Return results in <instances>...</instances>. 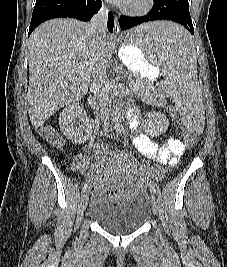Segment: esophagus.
Listing matches in <instances>:
<instances>
[{"mask_svg":"<svg viewBox=\"0 0 227 267\" xmlns=\"http://www.w3.org/2000/svg\"><path fill=\"white\" fill-rule=\"evenodd\" d=\"M114 34L115 36L122 35L121 28H120L119 21H118V16L116 14H115V19H114Z\"/></svg>","mask_w":227,"mask_h":267,"instance_id":"1","label":"esophagus"}]
</instances>
